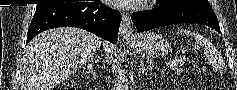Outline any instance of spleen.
<instances>
[{
    "label": "spleen",
    "instance_id": "spleen-1",
    "mask_svg": "<svg viewBox=\"0 0 237 90\" xmlns=\"http://www.w3.org/2000/svg\"><path fill=\"white\" fill-rule=\"evenodd\" d=\"M184 34H189V32H187V30H184ZM193 36H194L195 40H198V42H199L200 46H202L205 54H207V52H208L207 40H201V42H200V38H198L197 34H193Z\"/></svg>",
    "mask_w": 237,
    "mask_h": 90
}]
</instances>
